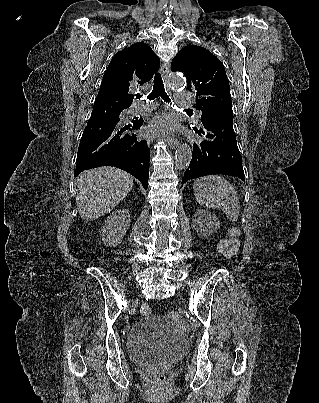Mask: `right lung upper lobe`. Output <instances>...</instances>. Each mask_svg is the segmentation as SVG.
<instances>
[{
  "label": "right lung upper lobe",
  "mask_w": 319,
  "mask_h": 403,
  "mask_svg": "<svg viewBox=\"0 0 319 403\" xmlns=\"http://www.w3.org/2000/svg\"><path fill=\"white\" fill-rule=\"evenodd\" d=\"M160 59L145 43H134L112 58L104 73L95 107L126 109L131 106L130 91L152 79Z\"/></svg>",
  "instance_id": "right-lung-upper-lobe-1"
}]
</instances>
